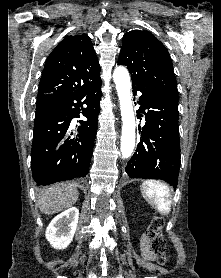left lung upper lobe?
I'll use <instances>...</instances> for the list:
<instances>
[{
	"label": "left lung upper lobe",
	"instance_id": "1",
	"mask_svg": "<svg viewBox=\"0 0 221 278\" xmlns=\"http://www.w3.org/2000/svg\"><path fill=\"white\" fill-rule=\"evenodd\" d=\"M118 64L129 69L133 84L178 102L172 61L165 46L151 33L143 30L126 32Z\"/></svg>",
	"mask_w": 221,
	"mask_h": 278
}]
</instances>
